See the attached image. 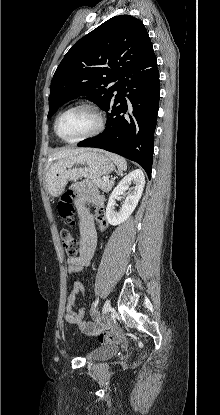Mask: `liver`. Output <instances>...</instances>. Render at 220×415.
Here are the masks:
<instances>
[{
    "label": "liver",
    "mask_w": 220,
    "mask_h": 415,
    "mask_svg": "<svg viewBox=\"0 0 220 415\" xmlns=\"http://www.w3.org/2000/svg\"><path fill=\"white\" fill-rule=\"evenodd\" d=\"M84 151H86V149H64V150L58 151V152L54 153L53 155H51L49 157L48 166L51 164V162L54 159L59 160V159H62L64 157H68V156H71V155H76V154H79V153L84 152Z\"/></svg>",
    "instance_id": "obj_1"
}]
</instances>
